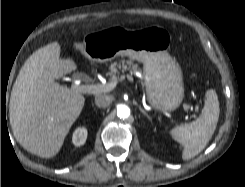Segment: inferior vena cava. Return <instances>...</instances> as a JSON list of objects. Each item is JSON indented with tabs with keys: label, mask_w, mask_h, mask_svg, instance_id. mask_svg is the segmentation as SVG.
<instances>
[{
	"label": "inferior vena cava",
	"mask_w": 245,
	"mask_h": 187,
	"mask_svg": "<svg viewBox=\"0 0 245 187\" xmlns=\"http://www.w3.org/2000/svg\"><path fill=\"white\" fill-rule=\"evenodd\" d=\"M110 103H111V98L106 94H97L95 96V104L100 108H105L109 106Z\"/></svg>",
	"instance_id": "inferior-vena-cava-1"
}]
</instances>
